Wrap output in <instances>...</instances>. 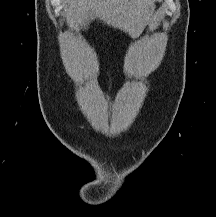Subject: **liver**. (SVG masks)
Segmentation results:
<instances>
[{
	"mask_svg": "<svg viewBox=\"0 0 216 217\" xmlns=\"http://www.w3.org/2000/svg\"><path fill=\"white\" fill-rule=\"evenodd\" d=\"M153 0H66L64 14L70 28H88L95 18L132 37L143 30Z\"/></svg>",
	"mask_w": 216,
	"mask_h": 217,
	"instance_id": "1",
	"label": "liver"
}]
</instances>
